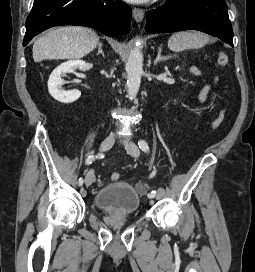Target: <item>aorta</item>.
<instances>
[{
	"instance_id": "762f6f07",
	"label": "aorta",
	"mask_w": 255,
	"mask_h": 272,
	"mask_svg": "<svg viewBox=\"0 0 255 272\" xmlns=\"http://www.w3.org/2000/svg\"><path fill=\"white\" fill-rule=\"evenodd\" d=\"M140 44V40L137 39L136 46L130 51L125 67L127 72V93L131 100L137 96L143 74V54Z\"/></svg>"
}]
</instances>
